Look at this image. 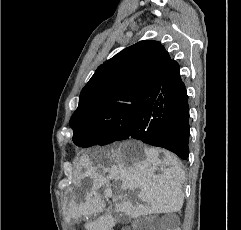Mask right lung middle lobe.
Listing matches in <instances>:
<instances>
[{
  "mask_svg": "<svg viewBox=\"0 0 241 230\" xmlns=\"http://www.w3.org/2000/svg\"><path fill=\"white\" fill-rule=\"evenodd\" d=\"M150 103L135 108L114 109L105 120L79 122L73 128V142L80 147L106 145L129 139L131 133L143 132L150 122L149 118H145V108Z\"/></svg>",
  "mask_w": 241,
  "mask_h": 230,
  "instance_id": "right-lung-middle-lobe-1",
  "label": "right lung middle lobe"
}]
</instances>
